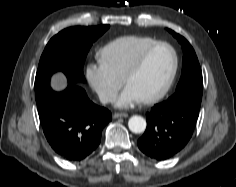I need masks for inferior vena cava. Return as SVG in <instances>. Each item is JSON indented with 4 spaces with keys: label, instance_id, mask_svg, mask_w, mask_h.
Instances as JSON below:
<instances>
[{
    "label": "inferior vena cava",
    "instance_id": "1",
    "mask_svg": "<svg viewBox=\"0 0 236 187\" xmlns=\"http://www.w3.org/2000/svg\"><path fill=\"white\" fill-rule=\"evenodd\" d=\"M99 99L102 103H113L116 101V95L115 94H101L99 96Z\"/></svg>",
    "mask_w": 236,
    "mask_h": 187
}]
</instances>
